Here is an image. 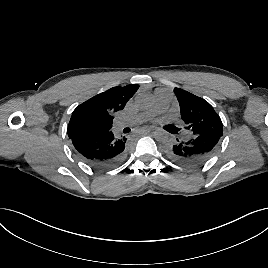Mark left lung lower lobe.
Returning a JSON list of instances; mask_svg holds the SVG:
<instances>
[{"label": "left lung lower lobe", "mask_w": 268, "mask_h": 268, "mask_svg": "<svg viewBox=\"0 0 268 268\" xmlns=\"http://www.w3.org/2000/svg\"><path fill=\"white\" fill-rule=\"evenodd\" d=\"M221 136L218 134H202L192 136L188 140L173 142L168 154L175 162L189 167L205 163L216 152Z\"/></svg>", "instance_id": "0a47b994"}]
</instances>
